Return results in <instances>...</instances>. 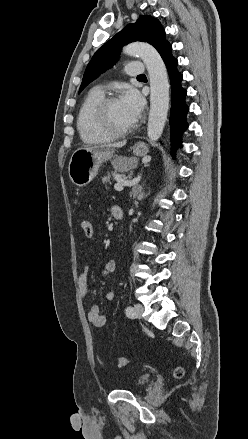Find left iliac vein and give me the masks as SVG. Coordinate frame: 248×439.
I'll return each mask as SVG.
<instances>
[{
    "label": "left iliac vein",
    "instance_id": "1",
    "mask_svg": "<svg viewBox=\"0 0 248 439\" xmlns=\"http://www.w3.org/2000/svg\"><path fill=\"white\" fill-rule=\"evenodd\" d=\"M144 309L142 307V305L140 304H136L134 306V314H133V318H137L140 319L142 317V313H143Z\"/></svg>",
    "mask_w": 248,
    "mask_h": 439
}]
</instances>
